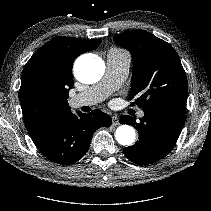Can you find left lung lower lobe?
I'll return each mask as SVG.
<instances>
[{
    "mask_svg": "<svg viewBox=\"0 0 211 211\" xmlns=\"http://www.w3.org/2000/svg\"><path fill=\"white\" fill-rule=\"evenodd\" d=\"M186 104L162 103L144 109L137 123L134 117L124 115L120 123L134 125L139 141L124 148V155L139 165L155 163L173 149L185 122Z\"/></svg>",
    "mask_w": 211,
    "mask_h": 211,
    "instance_id": "left-lung-lower-lobe-1",
    "label": "left lung lower lobe"
}]
</instances>
